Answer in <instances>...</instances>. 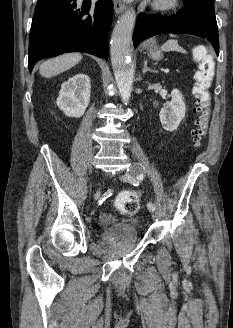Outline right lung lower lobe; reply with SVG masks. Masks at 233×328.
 <instances>
[{
	"instance_id": "1",
	"label": "right lung lower lobe",
	"mask_w": 233,
	"mask_h": 328,
	"mask_svg": "<svg viewBox=\"0 0 233 328\" xmlns=\"http://www.w3.org/2000/svg\"><path fill=\"white\" fill-rule=\"evenodd\" d=\"M111 0H39L29 41V71L46 57L86 52L108 58Z\"/></svg>"
}]
</instances>
